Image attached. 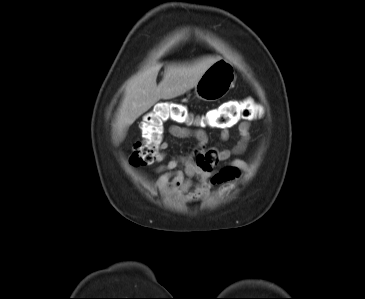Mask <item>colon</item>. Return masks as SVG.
Here are the masks:
<instances>
[{
	"mask_svg": "<svg viewBox=\"0 0 365 299\" xmlns=\"http://www.w3.org/2000/svg\"><path fill=\"white\" fill-rule=\"evenodd\" d=\"M254 111L248 101L233 102L224 108L208 111L200 118L204 126L226 128L238 120L247 119ZM168 122L192 124L197 122L186 105L175 102H160L148 111L141 122L144 139L137 142L130 156L133 166H145L156 161L164 142V126Z\"/></svg>",
	"mask_w": 365,
	"mask_h": 299,
	"instance_id": "1",
	"label": "colon"
}]
</instances>
